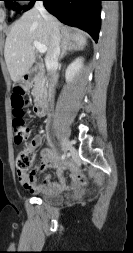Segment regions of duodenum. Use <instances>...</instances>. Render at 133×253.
Returning a JSON list of instances; mask_svg holds the SVG:
<instances>
[{
  "mask_svg": "<svg viewBox=\"0 0 133 253\" xmlns=\"http://www.w3.org/2000/svg\"><path fill=\"white\" fill-rule=\"evenodd\" d=\"M34 75L28 73L24 76L23 82L25 85H30L33 82ZM47 111V99L43 96L39 97L34 106V112L37 116H45Z\"/></svg>",
  "mask_w": 133,
  "mask_h": 253,
  "instance_id": "obj_1",
  "label": "duodenum"
}]
</instances>
